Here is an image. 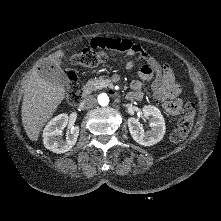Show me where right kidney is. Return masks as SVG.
I'll list each match as a JSON object with an SVG mask.
<instances>
[{
	"label": "right kidney",
	"mask_w": 221,
	"mask_h": 221,
	"mask_svg": "<svg viewBox=\"0 0 221 221\" xmlns=\"http://www.w3.org/2000/svg\"><path fill=\"white\" fill-rule=\"evenodd\" d=\"M68 119L67 114H60L54 117L44 128L43 143L50 151L58 154L65 153L76 144L79 135L78 126L69 128L65 140L58 138V136L62 134V130L67 126Z\"/></svg>",
	"instance_id": "1"
}]
</instances>
